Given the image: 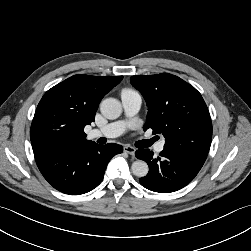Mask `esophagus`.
<instances>
[{
  "mask_svg": "<svg viewBox=\"0 0 251 251\" xmlns=\"http://www.w3.org/2000/svg\"><path fill=\"white\" fill-rule=\"evenodd\" d=\"M135 151H136L135 148L132 147V146H130V145H125V146H124V152H125V153H128V154L134 156Z\"/></svg>",
  "mask_w": 251,
  "mask_h": 251,
  "instance_id": "1",
  "label": "esophagus"
}]
</instances>
